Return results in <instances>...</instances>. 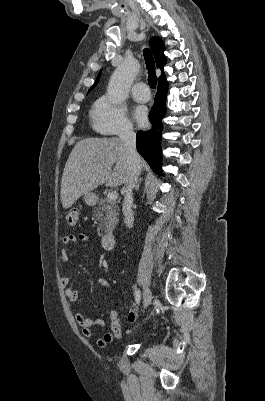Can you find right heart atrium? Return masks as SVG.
I'll list each match as a JSON object with an SVG mask.
<instances>
[{"instance_id": "right-heart-atrium-1", "label": "right heart atrium", "mask_w": 265, "mask_h": 401, "mask_svg": "<svg viewBox=\"0 0 265 401\" xmlns=\"http://www.w3.org/2000/svg\"><path fill=\"white\" fill-rule=\"evenodd\" d=\"M95 126L108 135L126 136L133 131V124L125 108L109 96H102L93 112Z\"/></svg>"}]
</instances>
